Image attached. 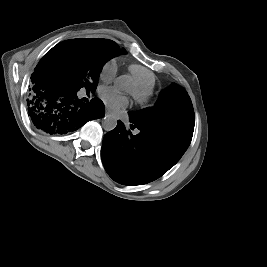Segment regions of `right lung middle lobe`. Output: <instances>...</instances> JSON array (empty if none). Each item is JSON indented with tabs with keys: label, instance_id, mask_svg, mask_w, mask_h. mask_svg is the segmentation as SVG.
Listing matches in <instances>:
<instances>
[{
	"label": "right lung middle lobe",
	"instance_id": "right-lung-middle-lobe-1",
	"mask_svg": "<svg viewBox=\"0 0 267 267\" xmlns=\"http://www.w3.org/2000/svg\"><path fill=\"white\" fill-rule=\"evenodd\" d=\"M119 53L110 44L98 40H66L53 47L36 70L45 69L75 91L84 85L87 91L95 92L103 65Z\"/></svg>",
	"mask_w": 267,
	"mask_h": 267
}]
</instances>
